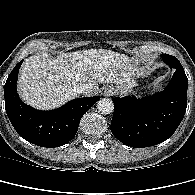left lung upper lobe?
Instances as JSON below:
<instances>
[{"label":"left lung upper lobe","mask_w":195,"mask_h":195,"mask_svg":"<svg viewBox=\"0 0 195 195\" xmlns=\"http://www.w3.org/2000/svg\"><path fill=\"white\" fill-rule=\"evenodd\" d=\"M161 56L164 62L168 64L171 68L182 67V65L180 64L179 60L176 57L168 54H162Z\"/></svg>","instance_id":"1"}]
</instances>
